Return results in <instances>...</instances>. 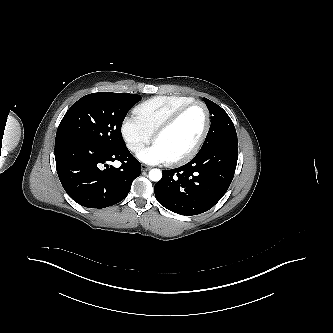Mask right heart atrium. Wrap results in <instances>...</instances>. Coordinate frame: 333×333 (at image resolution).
<instances>
[{"label":"right heart atrium","instance_id":"1","mask_svg":"<svg viewBox=\"0 0 333 333\" xmlns=\"http://www.w3.org/2000/svg\"><path fill=\"white\" fill-rule=\"evenodd\" d=\"M121 134L127 148L133 153L139 152L148 144L153 135L136 116H126L123 119Z\"/></svg>","mask_w":333,"mask_h":333}]
</instances>
